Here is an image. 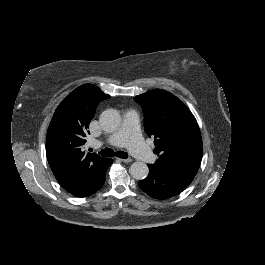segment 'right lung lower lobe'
<instances>
[{
  "label": "right lung lower lobe",
  "mask_w": 265,
  "mask_h": 265,
  "mask_svg": "<svg viewBox=\"0 0 265 265\" xmlns=\"http://www.w3.org/2000/svg\"><path fill=\"white\" fill-rule=\"evenodd\" d=\"M112 164V160L110 161V165ZM105 181V180H104ZM104 181L98 186V188L95 190V191H93L92 193H94V192H96L98 189H100L101 187H102V185L104 184ZM92 193H90V194H88V195H84V196H80V197H86V196H89V195H91Z\"/></svg>",
  "instance_id": "obj_1"
}]
</instances>
